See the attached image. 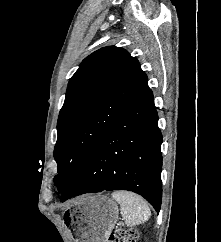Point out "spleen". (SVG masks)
<instances>
[{"mask_svg":"<svg viewBox=\"0 0 221 242\" xmlns=\"http://www.w3.org/2000/svg\"><path fill=\"white\" fill-rule=\"evenodd\" d=\"M112 197L120 204L121 215L127 226L134 227L149 219L151 211L142 197L129 191H115Z\"/></svg>","mask_w":221,"mask_h":242,"instance_id":"spleen-1","label":"spleen"}]
</instances>
